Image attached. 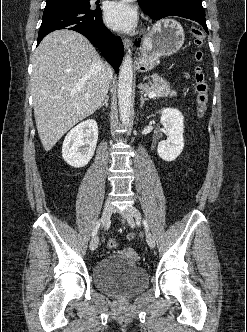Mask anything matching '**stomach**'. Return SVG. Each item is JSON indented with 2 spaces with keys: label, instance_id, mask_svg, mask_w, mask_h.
<instances>
[{
  "label": "stomach",
  "instance_id": "stomach-1",
  "mask_svg": "<svg viewBox=\"0 0 247 332\" xmlns=\"http://www.w3.org/2000/svg\"><path fill=\"white\" fill-rule=\"evenodd\" d=\"M185 40L182 26L173 19L157 22L142 39L141 57L137 63L139 72H147L159 58L171 56L180 50Z\"/></svg>",
  "mask_w": 247,
  "mask_h": 332
}]
</instances>
